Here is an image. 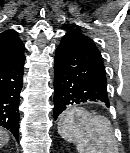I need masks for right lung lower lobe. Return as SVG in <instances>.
<instances>
[{
    "mask_svg": "<svg viewBox=\"0 0 130 153\" xmlns=\"http://www.w3.org/2000/svg\"><path fill=\"white\" fill-rule=\"evenodd\" d=\"M24 61L23 56L13 62L0 64V126L11 131L17 140Z\"/></svg>",
    "mask_w": 130,
    "mask_h": 153,
    "instance_id": "obj_1",
    "label": "right lung lower lobe"
}]
</instances>
